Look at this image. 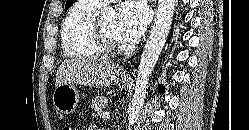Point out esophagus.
I'll return each mask as SVG.
<instances>
[{
	"label": "esophagus",
	"mask_w": 249,
	"mask_h": 130,
	"mask_svg": "<svg viewBox=\"0 0 249 130\" xmlns=\"http://www.w3.org/2000/svg\"><path fill=\"white\" fill-rule=\"evenodd\" d=\"M156 1H157V0H152L153 7H154V8H155V5H156ZM129 75H130V74H129L128 71H124V72H123V76L128 77Z\"/></svg>",
	"instance_id": "1"
}]
</instances>
